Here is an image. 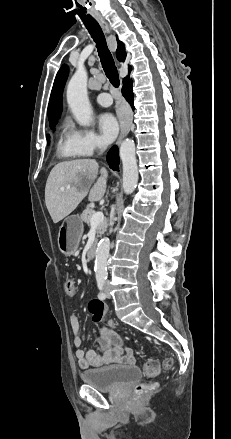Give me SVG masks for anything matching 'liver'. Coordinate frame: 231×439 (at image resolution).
<instances>
[{"instance_id": "obj_1", "label": "liver", "mask_w": 231, "mask_h": 439, "mask_svg": "<svg viewBox=\"0 0 231 439\" xmlns=\"http://www.w3.org/2000/svg\"><path fill=\"white\" fill-rule=\"evenodd\" d=\"M94 159L60 162L51 170L45 187V204L54 223L72 213L88 195L90 202L99 201L105 194L108 172Z\"/></svg>"}]
</instances>
